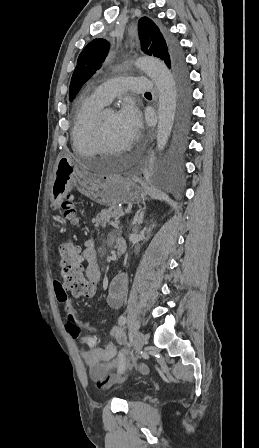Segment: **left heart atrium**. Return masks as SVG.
I'll use <instances>...</instances> for the list:
<instances>
[{"instance_id":"left-heart-atrium-1","label":"left heart atrium","mask_w":259,"mask_h":448,"mask_svg":"<svg viewBox=\"0 0 259 448\" xmlns=\"http://www.w3.org/2000/svg\"><path fill=\"white\" fill-rule=\"evenodd\" d=\"M117 120L130 138H136L142 127L139 110L132 102H126L117 113Z\"/></svg>"}]
</instances>
